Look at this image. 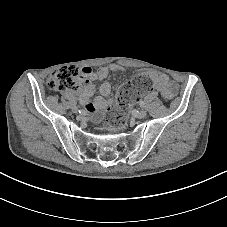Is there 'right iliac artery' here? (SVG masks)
I'll list each match as a JSON object with an SVG mask.
<instances>
[{
	"label": "right iliac artery",
	"mask_w": 227,
	"mask_h": 227,
	"mask_svg": "<svg viewBox=\"0 0 227 227\" xmlns=\"http://www.w3.org/2000/svg\"><path fill=\"white\" fill-rule=\"evenodd\" d=\"M78 112L81 113L82 117H87L88 116V111L87 110L79 109Z\"/></svg>",
	"instance_id": "82829eb1"
}]
</instances>
